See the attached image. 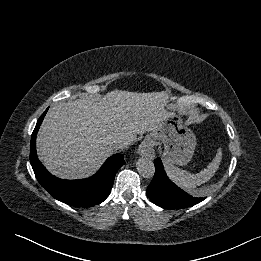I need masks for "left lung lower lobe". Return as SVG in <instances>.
I'll use <instances>...</instances> for the list:
<instances>
[{"label":"left lung lower lobe","mask_w":261,"mask_h":261,"mask_svg":"<svg viewBox=\"0 0 261 261\" xmlns=\"http://www.w3.org/2000/svg\"><path fill=\"white\" fill-rule=\"evenodd\" d=\"M155 175L147 187L150 200L165 209H182L198 204L203 197H194L177 187L167 177L160 158L155 159Z\"/></svg>","instance_id":"0a47b994"}]
</instances>
